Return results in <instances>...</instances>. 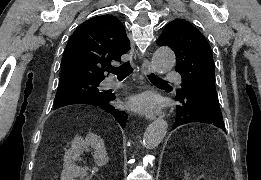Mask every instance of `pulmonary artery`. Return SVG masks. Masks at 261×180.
Returning <instances> with one entry per match:
<instances>
[{
  "mask_svg": "<svg viewBox=\"0 0 261 180\" xmlns=\"http://www.w3.org/2000/svg\"><path fill=\"white\" fill-rule=\"evenodd\" d=\"M163 77H181V72H163ZM166 83H181V78H166ZM103 85L108 88L120 87V84L112 79H106Z\"/></svg>",
  "mask_w": 261,
  "mask_h": 180,
  "instance_id": "1",
  "label": "pulmonary artery"
}]
</instances>
